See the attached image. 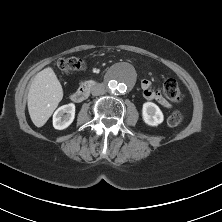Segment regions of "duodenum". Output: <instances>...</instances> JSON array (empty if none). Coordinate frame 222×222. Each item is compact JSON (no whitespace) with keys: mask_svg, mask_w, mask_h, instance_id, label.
<instances>
[{"mask_svg":"<svg viewBox=\"0 0 222 222\" xmlns=\"http://www.w3.org/2000/svg\"><path fill=\"white\" fill-rule=\"evenodd\" d=\"M96 85L95 80H89L84 83L80 88L74 91L71 95L72 101L80 103L84 101L90 94L92 88Z\"/></svg>","mask_w":222,"mask_h":222,"instance_id":"1","label":"duodenum"}]
</instances>
